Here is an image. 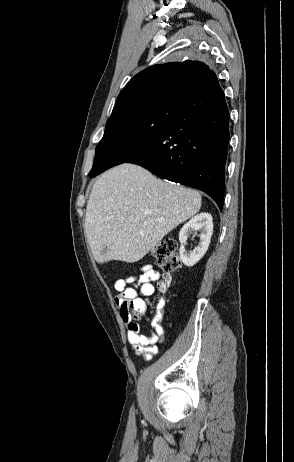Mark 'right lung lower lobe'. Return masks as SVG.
Listing matches in <instances>:
<instances>
[{
  "instance_id": "obj_1",
  "label": "right lung lower lobe",
  "mask_w": 294,
  "mask_h": 462,
  "mask_svg": "<svg viewBox=\"0 0 294 462\" xmlns=\"http://www.w3.org/2000/svg\"><path fill=\"white\" fill-rule=\"evenodd\" d=\"M185 98L176 117L125 162L138 164L162 179L202 190L222 210L229 142L225 95L217 81ZM96 175L89 173L90 177Z\"/></svg>"
}]
</instances>
